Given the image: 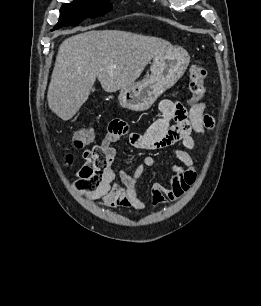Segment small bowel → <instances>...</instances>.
I'll return each mask as SVG.
<instances>
[{
	"instance_id": "c3829d8e",
	"label": "small bowel",
	"mask_w": 261,
	"mask_h": 306,
	"mask_svg": "<svg viewBox=\"0 0 261 306\" xmlns=\"http://www.w3.org/2000/svg\"><path fill=\"white\" fill-rule=\"evenodd\" d=\"M159 110V118L143 132L130 133L127 124L121 120L110 123L100 145L106 154L105 167L98 169L89 158L84 157L85 163L78 171L79 175L93 184L91 189H84L87 199H101L102 205L107 208L145 209V204L137 194L138 181L146 168L155 165V159L145 156L131 174L124 171L116 173L113 163L117 150L112 144L125 136H128L131 146L140 150L172 147V155L182 164L173 166L169 186L159 182L152 184L150 195L154 205L176 201L187 192L196 177L192 157L195 150L193 134L204 135L207 129L213 127L214 120L206 112L204 102L194 103L187 110L180 102L165 99L161 101ZM177 144L183 148L175 147Z\"/></svg>"
}]
</instances>
